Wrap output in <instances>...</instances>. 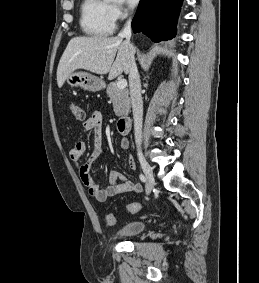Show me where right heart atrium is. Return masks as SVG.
Segmentation results:
<instances>
[{"mask_svg": "<svg viewBox=\"0 0 259 283\" xmlns=\"http://www.w3.org/2000/svg\"><path fill=\"white\" fill-rule=\"evenodd\" d=\"M111 11L115 20L122 19L126 15V10L119 4L111 5Z\"/></svg>", "mask_w": 259, "mask_h": 283, "instance_id": "obj_1", "label": "right heart atrium"}]
</instances>
